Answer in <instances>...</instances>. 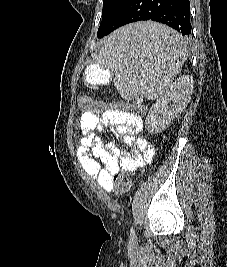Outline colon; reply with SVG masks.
<instances>
[{
  "label": "colon",
  "instance_id": "5ec220e1",
  "mask_svg": "<svg viewBox=\"0 0 227 267\" xmlns=\"http://www.w3.org/2000/svg\"><path fill=\"white\" fill-rule=\"evenodd\" d=\"M79 107L84 110L98 113L102 109H121L122 113H132V116H146L150 112L149 104H126V100H94L82 96L78 100ZM114 178V192L118 195L125 193L131 184V170L119 169L112 173Z\"/></svg>",
  "mask_w": 227,
  "mask_h": 267
}]
</instances>
